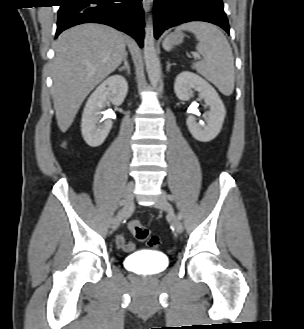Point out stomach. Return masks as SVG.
Wrapping results in <instances>:
<instances>
[{
	"mask_svg": "<svg viewBox=\"0 0 304 329\" xmlns=\"http://www.w3.org/2000/svg\"><path fill=\"white\" fill-rule=\"evenodd\" d=\"M184 35L180 32H176L171 36V44L176 45L180 44L183 41Z\"/></svg>",
	"mask_w": 304,
	"mask_h": 329,
	"instance_id": "obj_1",
	"label": "stomach"
}]
</instances>
